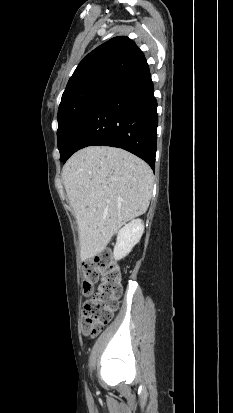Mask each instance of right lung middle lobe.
Segmentation results:
<instances>
[{
    "label": "right lung middle lobe",
    "mask_w": 233,
    "mask_h": 413,
    "mask_svg": "<svg viewBox=\"0 0 233 413\" xmlns=\"http://www.w3.org/2000/svg\"><path fill=\"white\" fill-rule=\"evenodd\" d=\"M116 78L91 80L62 96L58 110V149L60 160L69 152L78 132Z\"/></svg>",
    "instance_id": "right-lung-middle-lobe-1"
}]
</instances>
